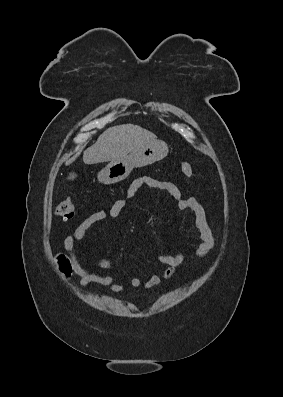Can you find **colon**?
<instances>
[{"label": "colon", "mask_w": 283, "mask_h": 397, "mask_svg": "<svg viewBox=\"0 0 283 397\" xmlns=\"http://www.w3.org/2000/svg\"><path fill=\"white\" fill-rule=\"evenodd\" d=\"M179 169L185 177H191L193 175L192 166L188 162H180ZM56 214L63 219H71L75 214V205L72 200L70 198L62 200L56 207ZM57 262L60 271L65 276H70L72 273V265L69 258L64 254H59L57 256Z\"/></svg>", "instance_id": "1"}]
</instances>
